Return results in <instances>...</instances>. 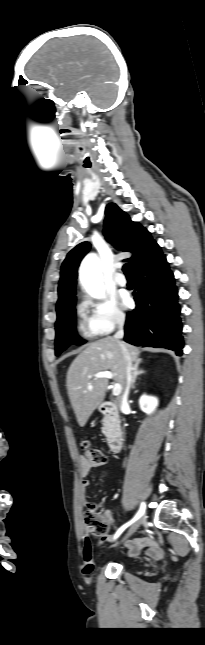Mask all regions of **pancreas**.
<instances>
[{
  "mask_svg": "<svg viewBox=\"0 0 205 645\" xmlns=\"http://www.w3.org/2000/svg\"><path fill=\"white\" fill-rule=\"evenodd\" d=\"M102 432L104 433L105 436L109 435V418L108 417H105L104 420H103Z\"/></svg>",
  "mask_w": 205,
  "mask_h": 645,
  "instance_id": "1",
  "label": "pancreas"
}]
</instances>
